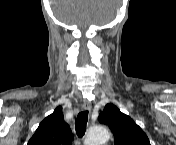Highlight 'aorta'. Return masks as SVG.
<instances>
[{
	"label": "aorta",
	"mask_w": 176,
	"mask_h": 145,
	"mask_svg": "<svg viewBox=\"0 0 176 145\" xmlns=\"http://www.w3.org/2000/svg\"><path fill=\"white\" fill-rule=\"evenodd\" d=\"M110 138L108 130L104 126H94L89 129L86 144L87 145H103Z\"/></svg>",
	"instance_id": "762f6f07"
}]
</instances>
